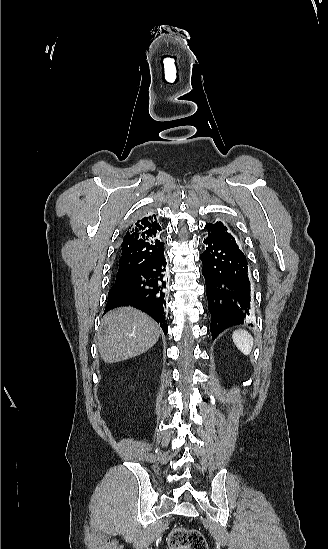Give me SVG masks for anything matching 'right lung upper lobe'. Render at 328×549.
Wrapping results in <instances>:
<instances>
[{"label":"right lung upper lobe","mask_w":328,"mask_h":549,"mask_svg":"<svg viewBox=\"0 0 328 549\" xmlns=\"http://www.w3.org/2000/svg\"><path fill=\"white\" fill-rule=\"evenodd\" d=\"M162 233L155 214H145L129 226L117 255V281L135 274L163 252Z\"/></svg>","instance_id":"right-lung-upper-lobe-1"}]
</instances>
